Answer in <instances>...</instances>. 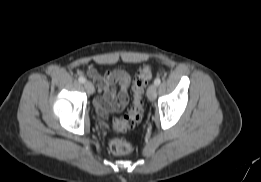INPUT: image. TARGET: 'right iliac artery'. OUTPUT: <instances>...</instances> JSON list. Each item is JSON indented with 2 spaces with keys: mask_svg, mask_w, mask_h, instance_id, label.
I'll return each mask as SVG.
<instances>
[{
  "mask_svg": "<svg viewBox=\"0 0 261 182\" xmlns=\"http://www.w3.org/2000/svg\"><path fill=\"white\" fill-rule=\"evenodd\" d=\"M78 80L80 83H84L86 81V79L83 76H80Z\"/></svg>",
  "mask_w": 261,
  "mask_h": 182,
  "instance_id": "obj_1",
  "label": "right iliac artery"
}]
</instances>
